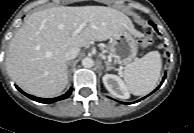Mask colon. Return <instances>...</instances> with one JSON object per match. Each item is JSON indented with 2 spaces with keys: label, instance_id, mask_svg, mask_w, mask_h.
<instances>
[{
  "label": "colon",
  "instance_id": "colon-1",
  "mask_svg": "<svg viewBox=\"0 0 194 133\" xmlns=\"http://www.w3.org/2000/svg\"><path fill=\"white\" fill-rule=\"evenodd\" d=\"M152 43V35L147 33L141 40L140 44L142 48H146Z\"/></svg>",
  "mask_w": 194,
  "mask_h": 133
}]
</instances>
